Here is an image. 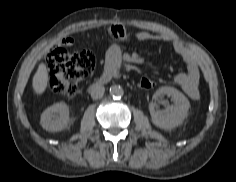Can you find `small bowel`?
Here are the masks:
<instances>
[{
	"mask_svg": "<svg viewBox=\"0 0 236 182\" xmlns=\"http://www.w3.org/2000/svg\"><path fill=\"white\" fill-rule=\"evenodd\" d=\"M110 30L119 35V37L116 38L119 41H124L128 37L127 31L122 26L114 25ZM136 37L139 41L160 40L169 42L174 52L182 58L187 67L186 72L178 73L174 76V83L177 84L191 99L196 100L199 98L200 69L197 58L192 51H190L182 42L166 33L153 34L143 31L137 33ZM63 42L66 45H71L73 41L71 38H65Z\"/></svg>",
	"mask_w": 236,
	"mask_h": 182,
	"instance_id": "1",
	"label": "small bowel"
}]
</instances>
